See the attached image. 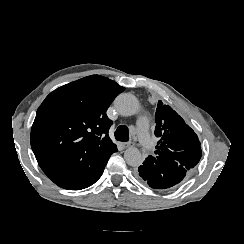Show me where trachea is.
Here are the masks:
<instances>
[{
	"label": "trachea",
	"instance_id": "obj_1",
	"mask_svg": "<svg viewBox=\"0 0 244 244\" xmlns=\"http://www.w3.org/2000/svg\"><path fill=\"white\" fill-rule=\"evenodd\" d=\"M115 137L118 141H122V142L128 141L129 131L127 126L125 125L119 126L115 131Z\"/></svg>",
	"mask_w": 244,
	"mask_h": 244
}]
</instances>
